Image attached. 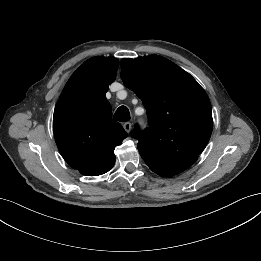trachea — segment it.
I'll return each mask as SVG.
<instances>
[{"label":"trachea","instance_id":"obj_1","mask_svg":"<svg viewBox=\"0 0 261 261\" xmlns=\"http://www.w3.org/2000/svg\"><path fill=\"white\" fill-rule=\"evenodd\" d=\"M113 118L120 122H127L130 120V112L126 106H120L116 110Z\"/></svg>","mask_w":261,"mask_h":261}]
</instances>
